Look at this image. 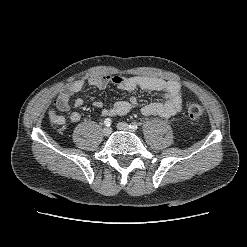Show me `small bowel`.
Listing matches in <instances>:
<instances>
[{
    "label": "small bowel",
    "instance_id": "1",
    "mask_svg": "<svg viewBox=\"0 0 247 247\" xmlns=\"http://www.w3.org/2000/svg\"><path fill=\"white\" fill-rule=\"evenodd\" d=\"M87 83L99 89H103L109 84H114L127 93H133L137 89L163 93L165 99L163 102H150L142 107L141 112L146 116L153 115L169 118L182 110V87L177 81H166L157 77L103 75L91 77ZM85 84L86 81L83 79L76 80L67 85L58 95L54 102V107L48 112L49 119L54 125L64 126L66 124L67 119L62 113L70 109L72 102L75 107H82L85 104V100L82 98L74 99L75 94L80 92ZM136 103V97L130 96L127 100L115 102L112 107H104L103 102L100 100L93 101L92 105L102 109L104 116L112 117L127 114ZM80 119L79 112L74 111L69 115V120L73 123L78 122Z\"/></svg>",
    "mask_w": 247,
    "mask_h": 247
}]
</instances>
